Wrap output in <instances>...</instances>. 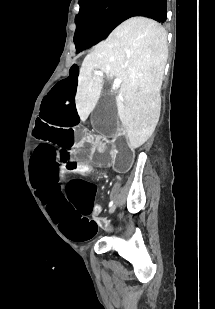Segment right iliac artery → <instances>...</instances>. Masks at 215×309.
<instances>
[{
  "label": "right iliac artery",
  "instance_id": "82829eb1",
  "mask_svg": "<svg viewBox=\"0 0 215 309\" xmlns=\"http://www.w3.org/2000/svg\"><path fill=\"white\" fill-rule=\"evenodd\" d=\"M113 205V201H111L110 203H109V207H111Z\"/></svg>",
  "mask_w": 215,
  "mask_h": 309
}]
</instances>
